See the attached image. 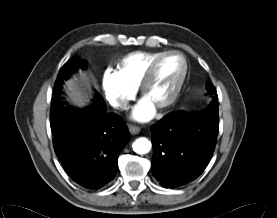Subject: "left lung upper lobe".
I'll list each match as a JSON object with an SVG mask.
<instances>
[{
    "label": "left lung upper lobe",
    "instance_id": "5c2ea615",
    "mask_svg": "<svg viewBox=\"0 0 277 218\" xmlns=\"http://www.w3.org/2000/svg\"><path fill=\"white\" fill-rule=\"evenodd\" d=\"M206 89H207L208 93L212 96V98H213L212 100L218 101L216 90H215V87L212 85V83L208 82L206 84Z\"/></svg>",
    "mask_w": 277,
    "mask_h": 218
}]
</instances>
